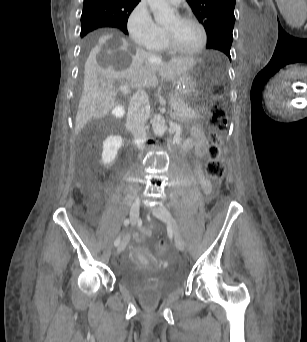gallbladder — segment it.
Masks as SVG:
<instances>
[{
    "label": "gallbladder",
    "instance_id": "bac80fb5",
    "mask_svg": "<svg viewBox=\"0 0 307 342\" xmlns=\"http://www.w3.org/2000/svg\"><path fill=\"white\" fill-rule=\"evenodd\" d=\"M122 108H123L122 103H115L114 109H113L115 118H122L123 116Z\"/></svg>",
    "mask_w": 307,
    "mask_h": 342
}]
</instances>
